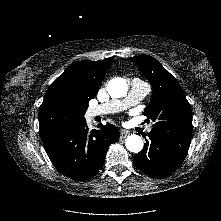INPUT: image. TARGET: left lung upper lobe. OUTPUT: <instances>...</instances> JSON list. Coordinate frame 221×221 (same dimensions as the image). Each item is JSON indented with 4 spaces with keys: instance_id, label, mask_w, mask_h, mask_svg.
Wrapping results in <instances>:
<instances>
[{
    "instance_id": "1",
    "label": "left lung upper lobe",
    "mask_w": 221,
    "mask_h": 221,
    "mask_svg": "<svg viewBox=\"0 0 221 221\" xmlns=\"http://www.w3.org/2000/svg\"><path fill=\"white\" fill-rule=\"evenodd\" d=\"M136 63L153 88L144 115L155 122L152 129L191 135L192 114L189 102L177 80L154 58L139 55Z\"/></svg>"
}]
</instances>
